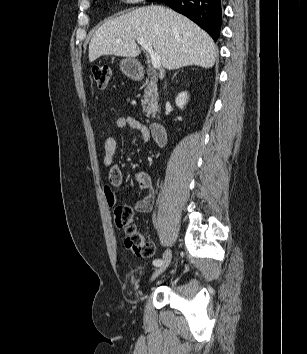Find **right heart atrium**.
I'll list each match as a JSON object with an SVG mask.
<instances>
[{"instance_id": "1", "label": "right heart atrium", "mask_w": 307, "mask_h": 354, "mask_svg": "<svg viewBox=\"0 0 307 354\" xmlns=\"http://www.w3.org/2000/svg\"><path fill=\"white\" fill-rule=\"evenodd\" d=\"M125 2L127 3H138V2H141L143 0H124Z\"/></svg>"}]
</instances>
